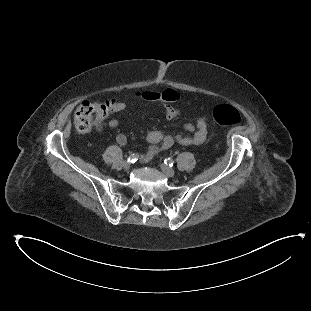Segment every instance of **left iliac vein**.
Wrapping results in <instances>:
<instances>
[{"label": "left iliac vein", "instance_id": "obj_1", "mask_svg": "<svg viewBox=\"0 0 311 311\" xmlns=\"http://www.w3.org/2000/svg\"><path fill=\"white\" fill-rule=\"evenodd\" d=\"M160 168H161L162 172L165 175H167L168 177H173L175 175V171L167 165L161 164Z\"/></svg>", "mask_w": 311, "mask_h": 311}]
</instances>
